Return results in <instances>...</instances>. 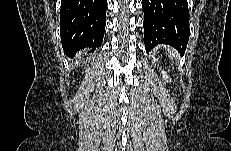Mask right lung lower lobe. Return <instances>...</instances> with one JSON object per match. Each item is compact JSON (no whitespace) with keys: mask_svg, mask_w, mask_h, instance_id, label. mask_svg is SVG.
<instances>
[{"mask_svg":"<svg viewBox=\"0 0 231 151\" xmlns=\"http://www.w3.org/2000/svg\"><path fill=\"white\" fill-rule=\"evenodd\" d=\"M107 0H62L61 42L64 53L73 57L84 47L95 50L102 44Z\"/></svg>","mask_w":231,"mask_h":151,"instance_id":"1","label":"right lung lower lobe"}]
</instances>
